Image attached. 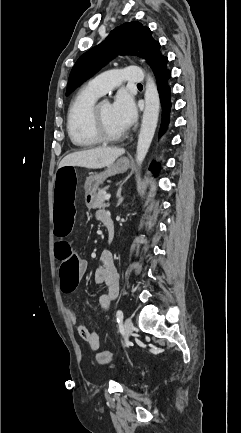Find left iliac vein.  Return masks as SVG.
Segmentation results:
<instances>
[{"instance_id":"obj_1","label":"left iliac vein","mask_w":241,"mask_h":433,"mask_svg":"<svg viewBox=\"0 0 241 433\" xmlns=\"http://www.w3.org/2000/svg\"><path fill=\"white\" fill-rule=\"evenodd\" d=\"M132 330H133L132 320L130 318H126L124 321V333H125L126 340H128L129 337L131 336Z\"/></svg>"}]
</instances>
